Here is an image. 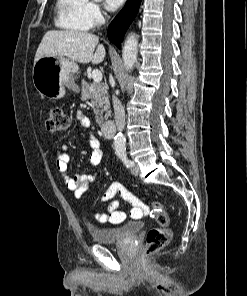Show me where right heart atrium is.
Listing matches in <instances>:
<instances>
[{"mask_svg":"<svg viewBox=\"0 0 247 296\" xmlns=\"http://www.w3.org/2000/svg\"><path fill=\"white\" fill-rule=\"evenodd\" d=\"M84 18L90 27H97L103 23L105 14L96 1L85 0Z\"/></svg>","mask_w":247,"mask_h":296,"instance_id":"right-heart-atrium-1","label":"right heart atrium"}]
</instances>
